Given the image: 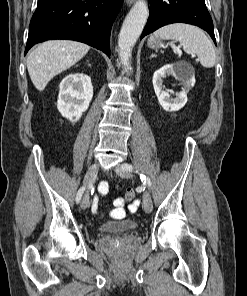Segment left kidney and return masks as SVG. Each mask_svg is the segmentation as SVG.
Instances as JSON below:
<instances>
[{
	"instance_id": "5707ae66",
	"label": "left kidney",
	"mask_w": 247,
	"mask_h": 296,
	"mask_svg": "<svg viewBox=\"0 0 247 296\" xmlns=\"http://www.w3.org/2000/svg\"><path fill=\"white\" fill-rule=\"evenodd\" d=\"M172 75L182 81L183 90L171 98L168 92L162 90L163 77ZM195 84V76L192 68L185 62L168 64L154 72L153 87L159 104L166 111H178L187 103V93Z\"/></svg>"
}]
</instances>
